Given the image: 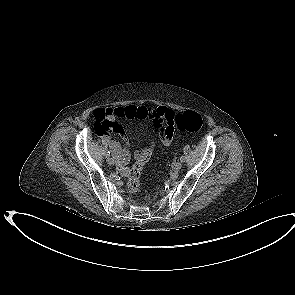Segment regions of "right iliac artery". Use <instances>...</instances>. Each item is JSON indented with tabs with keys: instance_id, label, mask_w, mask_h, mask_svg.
<instances>
[{
	"instance_id": "right-iliac-artery-1",
	"label": "right iliac artery",
	"mask_w": 295,
	"mask_h": 295,
	"mask_svg": "<svg viewBox=\"0 0 295 295\" xmlns=\"http://www.w3.org/2000/svg\"><path fill=\"white\" fill-rule=\"evenodd\" d=\"M106 156H107V157L110 156V151H107Z\"/></svg>"
}]
</instances>
